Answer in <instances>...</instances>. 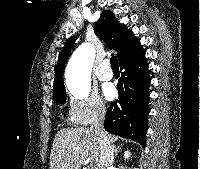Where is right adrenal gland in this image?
I'll list each match as a JSON object with an SVG mask.
<instances>
[{"instance_id": "right-adrenal-gland-1", "label": "right adrenal gland", "mask_w": 200, "mask_h": 169, "mask_svg": "<svg viewBox=\"0 0 200 169\" xmlns=\"http://www.w3.org/2000/svg\"><path fill=\"white\" fill-rule=\"evenodd\" d=\"M121 147H122V145H119V146H114L113 148H114V156L115 157H117V155H118V152L121 150Z\"/></svg>"}]
</instances>
